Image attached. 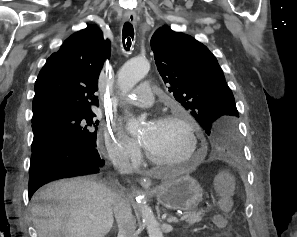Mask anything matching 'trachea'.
<instances>
[{"label":"trachea","instance_id":"1","mask_svg":"<svg viewBox=\"0 0 297 237\" xmlns=\"http://www.w3.org/2000/svg\"><path fill=\"white\" fill-rule=\"evenodd\" d=\"M134 38L133 25L130 22H126L122 30V42L126 51L130 50L131 40Z\"/></svg>","mask_w":297,"mask_h":237}]
</instances>
